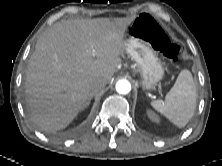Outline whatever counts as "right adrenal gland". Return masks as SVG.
Segmentation results:
<instances>
[{
    "mask_svg": "<svg viewBox=\"0 0 222 166\" xmlns=\"http://www.w3.org/2000/svg\"><path fill=\"white\" fill-rule=\"evenodd\" d=\"M91 99H92V96L90 97L87 106H89ZM87 106H86V107H87Z\"/></svg>",
    "mask_w": 222,
    "mask_h": 166,
    "instance_id": "1",
    "label": "right adrenal gland"
}]
</instances>
